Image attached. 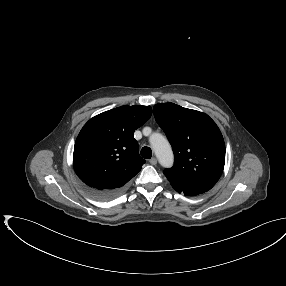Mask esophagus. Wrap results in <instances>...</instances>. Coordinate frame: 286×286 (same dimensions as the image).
<instances>
[{"label": "esophagus", "mask_w": 286, "mask_h": 286, "mask_svg": "<svg viewBox=\"0 0 286 286\" xmlns=\"http://www.w3.org/2000/svg\"><path fill=\"white\" fill-rule=\"evenodd\" d=\"M149 163L155 166L157 164V159L153 157L149 160Z\"/></svg>", "instance_id": "obj_1"}]
</instances>
